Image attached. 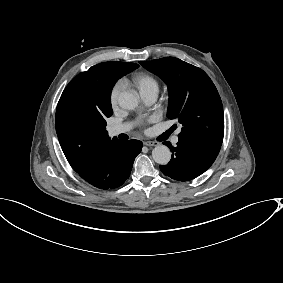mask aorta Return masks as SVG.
Wrapping results in <instances>:
<instances>
[{"label":"aorta","mask_w":283,"mask_h":283,"mask_svg":"<svg viewBox=\"0 0 283 283\" xmlns=\"http://www.w3.org/2000/svg\"><path fill=\"white\" fill-rule=\"evenodd\" d=\"M118 103L123 109L133 110L137 107L138 100L133 94L123 92L119 95ZM152 157L156 163L166 165L171 159V152L167 146L159 145L152 150Z\"/></svg>","instance_id":"obj_1"}]
</instances>
